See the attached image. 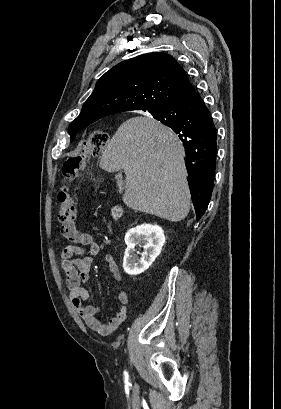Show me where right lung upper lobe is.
Returning a JSON list of instances; mask_svg holds the SVG:
<instances>
[{
  "instance_id": "1",
  "label": "right lung upper lobe",
  "mask_w": 281,
  "mask_h": 409,
  "mask_svg": "<svg viewBox=\"0 0 281 409\" xmlns=\"http://www.w3.org/2000/svg\"><path fill=\"white\" fill-rule=\"evenodd\" d=\"M194 92L185 71L172 56L144 54L106 72L69 127L83 129L102 117L124 111L160 109Z\"/></svg>"
}]
</instances>
